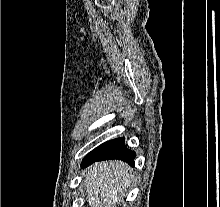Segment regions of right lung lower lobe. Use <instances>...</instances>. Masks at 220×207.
Wrapping results in <instances>:
<instances>
[{
  "label": "right lung lower lobe",
  "mask_w": 220,
  "mask_h": 207,
  "mask_svg": "<svg viewBox=\"0 0 220 207\" xmlns=\"http://www.w3.org/2000/svg\"><path fill=\"white\" fill-rule=\"evenodd\" d=\"M135 152L128 150L124 144V138L107 141L91 151L82 161V167H86L95 161L119 159L133 164Z\"/></svg>",
  "instance_id": "1"
}]
</instances>
